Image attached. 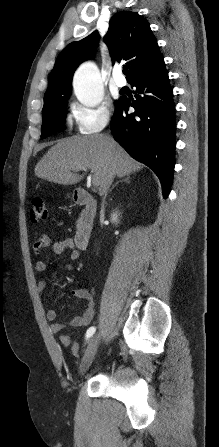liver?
Instances as JSON below:
<instances>
[{
	"mask_svg": "<svg viewBox=\"0 0 219 447\" xmlns=\"http://www.w3.org/2000/svg\"><path fill=\"white\" fill-rule=\"evenodd\" d=\"M142 168L112 138L95 134L59 140L37 163L35 175L57 184L72 185L83 179L78 171L91 169L98 181L99 194L103 195L112 183L111 178L124 177Z\"/></svg>",
	"mask_w": 219,
	"mask_h": 447,
	"instance_id": "liver-1",
	"label": "liver"
}]
</instances>
